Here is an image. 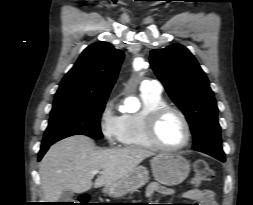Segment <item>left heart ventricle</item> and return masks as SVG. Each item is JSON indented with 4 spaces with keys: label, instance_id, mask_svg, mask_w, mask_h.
Wrapping results in <instances>:
<instances>
[{
    "label": "left heart ventricle",
    "instance_id": "obj_1",
    "mask_svg": "<svg viewBox=\"0 0 253 205\" xmlns=\"http://www.w3.org/2000/svg\"><path fill=\"white\" fill-rule=\"evenodd\" d=\"M158 135L165 145L177 146L184 142L186 128L177 114L170 113L162 119L158 128Z\"/></svg>",
    "mask_w": 253,
    "mask_h": 205
}]
</instances>
